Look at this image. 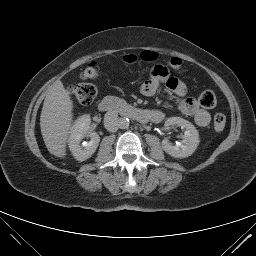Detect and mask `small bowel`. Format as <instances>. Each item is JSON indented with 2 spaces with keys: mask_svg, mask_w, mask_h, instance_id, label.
I'll return each mask as SVG.
<instances>
[{
  "mask_svg": "<svg viewBox=\"0 0 256 256\" xmlns=\"http://www.w3.org/2000/svg\"><path fill=\"white\" fill-rule=\"evenodd\" d=\"M161 84H164L171 93L182 97L178 102V109L181 113L193 117L198 126L205 127L210 124L209 112L203 109L194 97L185 96L187 93L185 84L177 78L171 77L165 65L155 66L150 77L141 85L140 91L145 96H153ZM157 113L162 116L160 112Z\"/></svg>",
  "mask_w": 256,
  "mask_h": 256,
  "instance_id": "c3829d8e",
  "label": "small bowel"
}]
</instances>
